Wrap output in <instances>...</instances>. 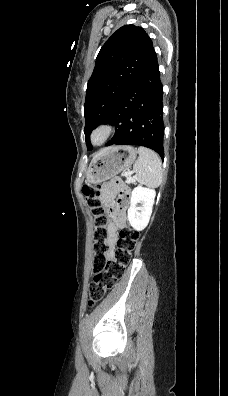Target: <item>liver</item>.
I'll return each instance as SVG.
<instances>
[{
  "instance_id": "liver-1",
  "label": "liver",
  "mask_w": 228,
  "mask_h": 396,
  "mask_svg": "<svg viewBox=\"0 0 228 396\" xmlns=\"http://www.w3.org/2000/svg\"><path fill=\"white\" fill-rule=\"evenodd\" d=\"M107 149H108V148H107ZM107 149H104L103 151H105V150H107ZM103 151H101V152H103ZM101 152H100V153H101ZM100 153H99V154H100ZM99 154H97L96 156H98Z\"/></svg>"
}]
</instances>
